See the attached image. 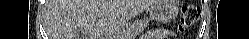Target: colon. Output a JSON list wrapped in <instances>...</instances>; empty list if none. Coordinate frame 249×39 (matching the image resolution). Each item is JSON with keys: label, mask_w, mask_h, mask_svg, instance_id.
<instances>
[{"label": "colon", "mask_w": 249, "mask_h": 39, "mask_svg": "<svg viewBox=\"0 0 249 39\" xmlns=\"http://www.w3.org/2000/svg\"><path fill=\"white\" fill-rule=\"evenodd\" d=\"M180 12L179 29L181 32H185L199 20L200 11L192 1L187 0L182 2Z\"/></svg>", "instance_id": "5ec220e1"}]
</instances>
